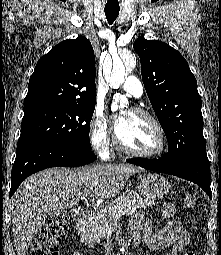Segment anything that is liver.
<instances>
[{"label":"liver","instance_id":"6515ba94","mask_svg":"<svg viewBox=\"0 0 221 255\" xmlns=\"http://www.w3.org/2000/svg\"><path fill=\"white\" fill-rule=\"evenodd\" d=\"M140 168L129 164H97L78 169L50 168L28 177L11 198L12 230L18 255H26L47 216L75 207L82 196L115 198L131 174Z\"/></svg>","mask_w":221,"mask_h":255}]
</instances>
